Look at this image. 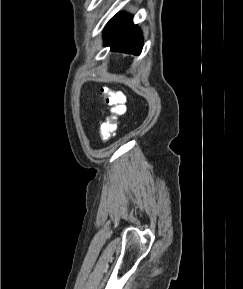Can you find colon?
Masks as SVG:
<instances>
[{"instance_id": "5ec220e1", "label": "colon", "mask_w": 243, "mask_h": 289, "mask_svg": "<svg viewBox=\"0 0 243 289\" xmlns=\"http://www.w3.org/2000/svg\"><path fill=\"white\" fill-rule=\"evenodd\" d=\"M101 94L109 108L110 114L101 125L100 135L103 141H108L116 130L117 118L124 113L125 96L122 92L111 90L107 87L101 88Z\"/></svg>"}]
</instances>
